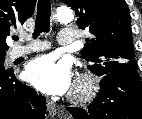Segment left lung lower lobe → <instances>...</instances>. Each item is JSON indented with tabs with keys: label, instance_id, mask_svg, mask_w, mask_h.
I'll use <instances>...</instances> for the list:
<instances>
[{
	"label": "left lung lower lobe",
	"instance_id": "1",
	"mask_svg": "<svg viewBox=\"0 0 142 119\" xmlns=\"http://www.w3.org/2000/svg\"><path fill=\"white\" fill-rule=\"evenodd\" d=\"M138 68L102 76L98 96L88 110L70 108L75 119H142V83Z\"/></svg>",
	"mask_w": 142,
	"mask_h": 119
}]
</instances>
